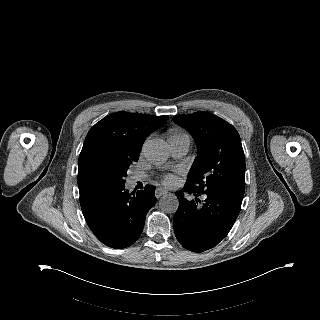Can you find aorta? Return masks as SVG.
I'll return each instance as SVG.
<instances>
[{
	"instance_id": "1",
	"label": "aorta",
	"mask_w": 320,
	"mask_h": 320,
	"mask_svg": "<svg viewBox=\"0 0 320 320\" xmlns=\"http://www.w3.org/2000/svg\"><path fill=\"white\" fill-rule=\"evenodd\" d=\"M143 152L145 157L153 164L162 165L169 157L168 144L161 139H152L144 144ZM159 205L166 213H175L179 206L178 198L173 194H166L161 197Z\"/></svg>"
}]
</instances>
